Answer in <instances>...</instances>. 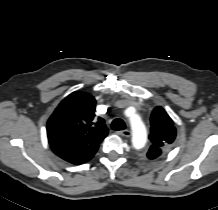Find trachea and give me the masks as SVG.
I'll return each mask as SVG.
<instances>
[{
	"instance_id": "obj_1",
	"label": "trachea",
	"mask_w": 218,
	"mask_h": 210,
	"mask_svg": "<svg viewBox=\"0 0 218 210\" xmlns=\"http://www.w3.org/2000/svg\"><path fill=\"white\" fill-rule=\"evenodd\" d=\"M111 128L115 131H120V130H124L126 128V125L122 119L117 118L113 120L111 124Z\"/></svg>"
}]
</instances>
